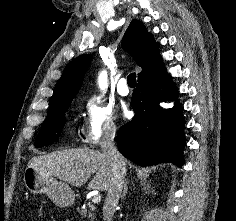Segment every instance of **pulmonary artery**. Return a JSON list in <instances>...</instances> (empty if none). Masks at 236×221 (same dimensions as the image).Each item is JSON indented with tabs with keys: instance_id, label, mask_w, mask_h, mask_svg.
Listing matches in <instances>:
<instances>
[{
	"instance_id": "pulmonary-artery-1",
	"label": "pulmonary artery",
	"mask_w": 236,
	"mask_h": 221,
	"mask_svg": "<svg viewBox=\"0 0 236 221\" xmlns=\"http://www.w3.org/2000/svg\"><path fill=\"white\" fill-rule=\"evenodd\" d=\"M127 78H121L117 85V92L121 96H127L129 94V88L127 87Z\"/></svg>"
}]
</instances>
